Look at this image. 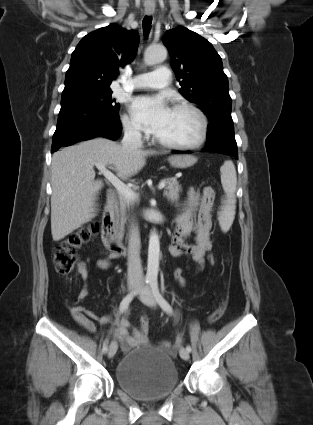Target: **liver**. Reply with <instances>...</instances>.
<instances>
[{"label":"liver","mask_w":313,"mask_h":425,"mask_svg":"<svg viewBox=\"0 0 313 425\" xmlns=\"http://www.w3.org/2000/svg\"><path fill=\"white\" fill-rule=\"evenodd\" d=\"M156 151H126L105 138H95L53 154L51 164V234L59 241L95 216L94 203L103 183L95 180L94 165L115 168L122 179L137 174Z\"/></svg>","instance_id":"liver-1"}]
</instances>
